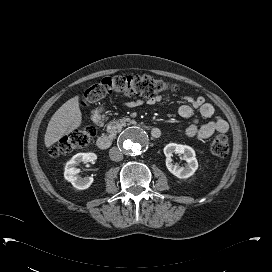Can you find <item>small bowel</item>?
<instances>
[{"instance_id": "obj_1", "label": "small bowel", "mask_w": 272, "mask_h": 272, "mask_svg": "<svg viewBox=\"0 0 272 272\" xmlns=\"http://www.w3.org/2000/svg\"><path fill=\"white\" fill-rule=\"evenodd\" d=\"M184 103L179 107L178 113L182 118L188 119L193 116L194 110H197L199 115L207 119L204 123L190 124L185 129V136L196 137L198 139H206L215 132L226 133L229 129L228 123L221 117L215 116V110L212 104L206 102L204 97H193L190 95H182ZM161 102V97H153L146 101L148 105H155ZM142 101H135L128 103V106H138Z\"/></svg>"}]
</instances>
